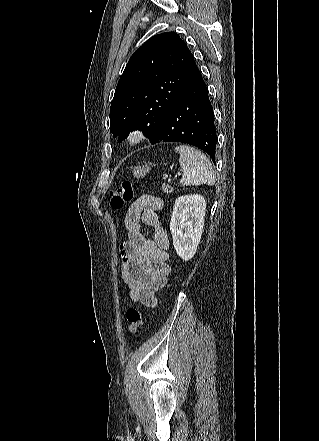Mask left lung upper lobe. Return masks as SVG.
Instances as JSON below:
<instances>
[{
	"label": "left lung upper lobe",
	"instance_id": "left-lung-upper-lobe-1",
	"mask_svg": "<svg viewBox=\"0 0 319 441\" xmlns=\"http://www.w3.org/2000/svg\"><path fill=\"white\" fill-rule=\"evenodd\" d=\"M186 43L174 32L148 39L130 57L110 107V132L124 140L140 129L152 142L171 107L195 74Z\"/></svg>",
	"mask_w": 319,
	"mask_h": 441
}]
</instances>
